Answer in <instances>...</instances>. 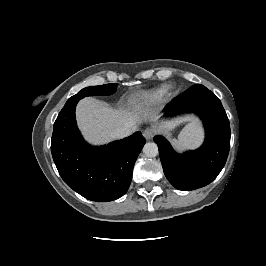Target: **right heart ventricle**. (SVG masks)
<instances>
[{"label":"right heart ventricle","instance_id":"e07e8e85","mask_svg":"<svg viewBox=\"0 0 266 266\" xmlns=\"http://www.w3.org/2000/svg\"><path fill=\"white\" fill-rule=\"evenodd\" d=\"M162 98V91H156L152 93L145 94L141 97V100L143 102L149 103V102H155Z\"/></svg>","mask_w":266,"mask_h":266}]
</instances>
